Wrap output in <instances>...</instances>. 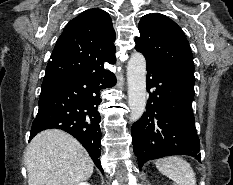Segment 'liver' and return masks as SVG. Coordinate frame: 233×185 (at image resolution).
<instances>
[{
  "instance_id": "liver-1",
  "label": "liver",
  "mask_w": 233,
  "mask_h": 185,
  "mask_svg": "<svg viewBox=\"0 0 233 185\" xmlns=\"http://www.w3.org/2000/svg\"><path fill=\"white\" fill-rule=\"evenodd\" d=\"M28 185H78L93 173L94 164L70 134L49 129L38 133L24 154Z\"/></svg>"
}]
</instances>
